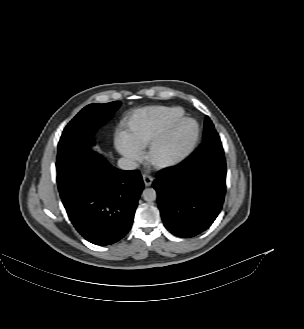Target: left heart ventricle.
I'll return each mask as SVG.
<instances>
[{
  "label": "left heart ventricle",
  "mask_w": 304,
  "mask_h": 329,
  "mask_svg": "<svg viewBox=\"0 0 304 329\" xmlns=\"http://www.w3.org/2000/svg\"><path fill=\"white\" fill-rule=\"evenodd\" d=\"M195 124L193 122L184 123L178 130L175 138L161 151L162 156H169L179 152L193 137Z\"/></svg>",
  "instance_id": "b2bd125f"
}]
</instances>
